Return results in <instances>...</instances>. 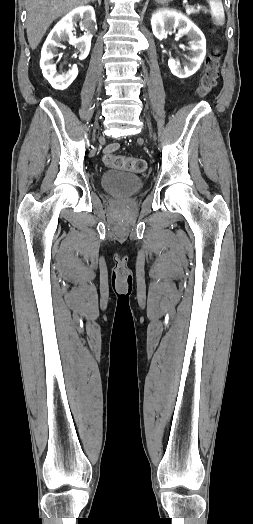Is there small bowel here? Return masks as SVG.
<instances>
[{
    "label": "small bowel",
    "instance_id": "c3829d8e",
    "mask_svg": "<svg viewBox=\"0 0 253 524\" xmlns=\"http://www.w3.org/2000/svg\"><path fill=\"white\" fill-rule=\"evenodd\" d=\"M118 144L117 143H111L109 145L106 146L105 148V152L107 153H111V152H114L118 149Z\"/></svg>",
    "mask_w": 253,
    "mask_h": 524
}]
</instances>
